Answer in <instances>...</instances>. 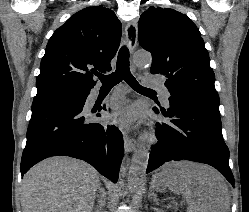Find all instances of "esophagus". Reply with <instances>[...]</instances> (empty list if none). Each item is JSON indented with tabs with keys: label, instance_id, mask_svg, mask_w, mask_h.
Segmentation results:
<instances>
[{
	"label": "esophagus",
	"instance_id": "esophagus-1",
	"mask_svg": "<svg viewBox=\"0 0 249 212\" xmlns=\"http://www.w3.org/2000/svg\"><path fill=\"white\" fill-rule=\"evenodd\" d=\"M137 39H138L137 22L135 20H132L131 22H128L125 27V43L131 52L135 49L137 45ZM123 136H124L125 151L133 152L136 148L135 141L131 139L127 135V132L124 130H123Z\"/></svg>",
	"mask_w": 249,
	"mask_h": 212
}]
</instances>
